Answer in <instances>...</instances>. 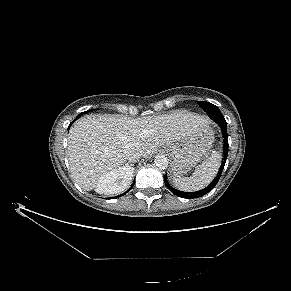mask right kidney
Masks as SVG:
<instances>
[{"mask_svg":"<svg viewBox=\"0 0 291 291\" xmlns=\"http://www.w3.org/2000/svg\"><path fill=\"white\" fill-rule=\"evenodd\" d=\"M133 172L134 168L126 165L102 175L96 185V192L108 195L120 193L132 180Z\"/></svg>","mask_w":291,"mask_h":291,"instance_id":"ca27d5eb","label":"right kidney"}]
</instances>
